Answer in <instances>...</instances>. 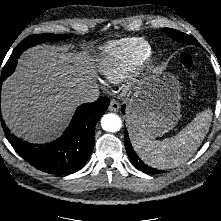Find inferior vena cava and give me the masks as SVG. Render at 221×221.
<instances>
[{"mask_svg": "<svg viewBox=\"0 0 221 221\" xmlns=\"http://www.w3.org/2000/svg\"><path fill=\"white\" fill-rule=\"evenodd\" d=\"M99 98V90L96 86L90 85L77 94V100L80 103L94 102Z\"/></svg>", "mask_w": 221, "mask_h": 221, "instance_id": "obj_1", "label": "inferior vena cava"}]
</instances>
